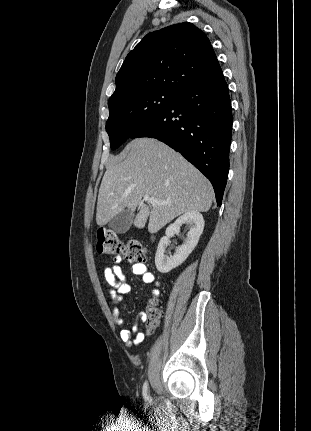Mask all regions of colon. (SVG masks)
<instances>
[{
    "label": "colon",
    "instance_id": "colon-1",
    "mask_svg": "<svg viewBox=\"0 0 311 431\" xmlns=\"http://www.w3.org/2000/svg\"><path fill=\"white\" fill-rule=\"evenodd\" d=\"M96 249L100 254L122 255L130 262H144L147 249L137 240L123 242L118 235L106 228L97 231ZM162 317V309L158 301H151L144 316V330L146 334L154 332Z\"/></svg>",
    "mask_w": 311,
    "mask_h": 431
}]
</instances>
